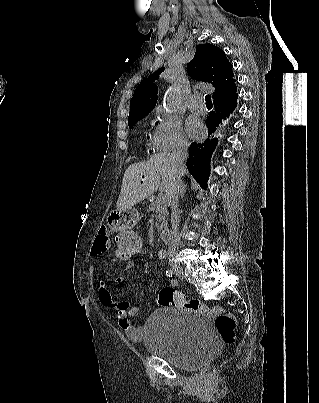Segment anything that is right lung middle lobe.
Instances as JSON below:
<instances>
[{
  "label": "right lung middle lobe",
  "instance_id": "right-lung-middle-lobe-1",
  "mask_svg": "<svg viewBox=\"0 0 319 403\" xmlns=\"http://www.w3.org/2000/svg\"><path fill=\"white\" fill-rule=\"evenodd\" d=\"M143 117H144V116L139 117V118H136V119L128 120L129 127H132L138 120H140V119L143 118Z\"/></svg>",
  "mask_w": 319,
  "mask_h": 403
}]
</instances>
